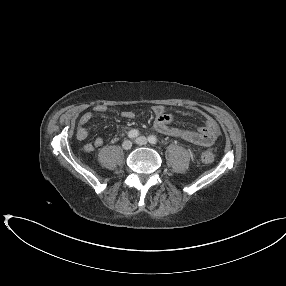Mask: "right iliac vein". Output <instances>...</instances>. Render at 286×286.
Masks as SVG:
<instances>
[{"mask_svg":"<svg viewBox=\"0 0 286 286\" xmlns=\"http://www.w3.org/2000/svg\"><path fill=\"white\" fill-rule=\"evenodd\" d=\"M132 147V142L130 140H125L123 143H122V148L124 150H129L131 149Z\"/></svg>","mask_w":286,"mask_h":286,"instance_id":"1","label":"right iliac vein"}]
</instances>
